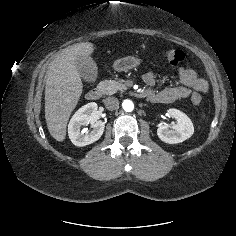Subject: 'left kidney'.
Here are the masks:
<instances>
[{
    "label": "left kidney",
    "mask_w": 236,
    "mask_h": 236,
    "mask_svg": "<svg viewBox=\"0 0 236 236\" xmlns=\"http://www.w3.org/2000/svg\"><path fill=\"white\" fill-rule=\"evenodd\" d=\"M168 115L176 119L177 124L171 129L167 124H161L158 127L157 135L163 142L168 144L181 143L193 135V123L185 113L177 109H169Z\"/></svg>",
    "instance_id": "5707ae66"
}]
</instances>
